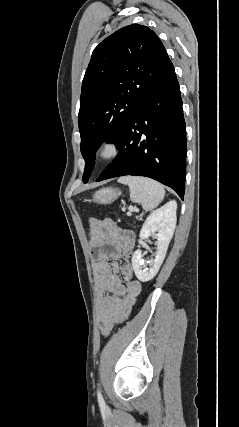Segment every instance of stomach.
I'll list each match as a JSON object with an SVG mask.
<instances>
[{
	"mask_svg": "<svg viewBox=\"0 0 239 427\" xmlns=\"http://www.w3.org/2000/svg\"><path fill=\"white\" fill-rule=\"evenodd\" d=\"M121 192L114 188H102L95 192L93 195V201L98 204H110L114 202Z\"/></svg>",
	"mask_w": 239,
	"mask_h": 427,
	"instance_id": "0dacf381",
	"label": "stomach"
}]
</instances>
